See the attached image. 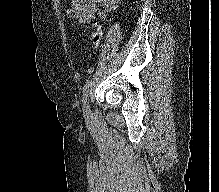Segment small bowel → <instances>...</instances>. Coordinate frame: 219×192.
<instances>
[{
	"mask_svg": "<svg viewBox=\"0 0 219 192\" xmlns=\"http://www.w3.org/2000/svg\"><path fill=\"white\" fill-rule=\"evenodd\" d=\"M120 0H70L68 14L82 26L87 27L96 18L106 19Z\"/></svg>",
	"mask_w": 219,
	"mask_h": 192,
	"instance_id": "obj_1",
	"label": "small bowel"
}]
</instances>
